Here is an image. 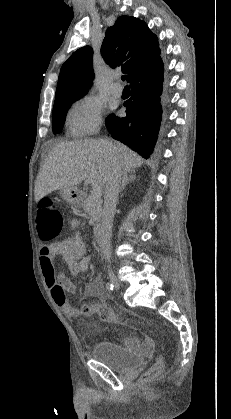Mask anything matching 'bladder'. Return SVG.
I'll return each mask as SVG.
<instances>
[{
    "instance_id": "1",
    "label": "bladder",
    "mask_w": 231,
    "mask_h": 419,
    "mask_svg": "<svg viewBox=\"0 0 231 419\" xmlns=\"http://www.w3.org/2000/svg\"><path fill=\"white\" fill-rule=\"evenodd\" d=\"M91 356L94 360L119 373H126L144 363L142 354L131 352L119 344L107 340L95 343L91 349Z\"/></svg>"
}]
</instances>
